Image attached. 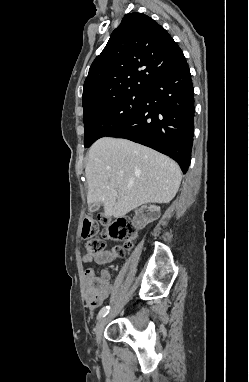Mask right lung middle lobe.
Wrapping results in <instances>:
<instances>
[{"instance_id": "1", "label": "right lung middle lobe", "mask_w": 249, "mask_h": 382, "mask_svg": "<svg viewBox=\"0 0 249 382\" xmlns=\"http://www.w3.org/2000/svg\"><path fill=\"white\" fill-rule=\"evenodd\" d=\"M145 91H132L104 103L84 108V145L90 147L97 139L108 136L127 123L142 107Z\"/></svg>"}]
</instances>
